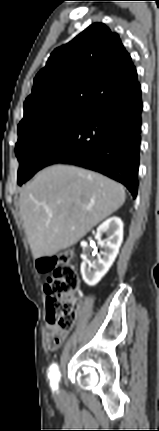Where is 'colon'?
Listing matches in <instances>:
<instances>
[{
    "mask_svg": "<svg viewBox=\"0 0 159 431\" xmlns=\"http://www.w3.org/2000/svg\"><path fill=\"white\" fill-rule=\"evenodd\" d=\"M37 269L41 273H51L44 286L49 321L64 330L71 329L77 315L72 294L79 286L72 255L63 252L41 257L37 260Z\"/></svg>",
    "mask_w": 159,
    "mask_h": 431,
    "instance_id": "1",
    "label": "colon"
}]
</instances>
